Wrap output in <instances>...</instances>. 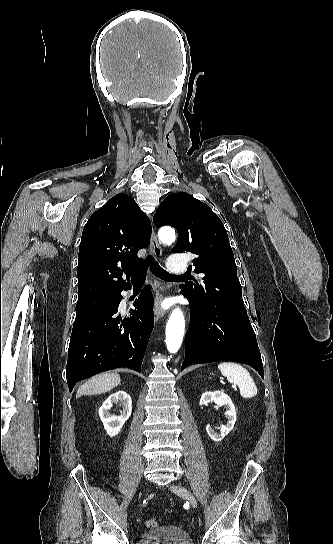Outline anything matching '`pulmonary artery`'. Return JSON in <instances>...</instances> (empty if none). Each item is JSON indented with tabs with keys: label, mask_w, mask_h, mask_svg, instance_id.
<instances>
[{
	"label": "pulmonary artery",
	"mask_w": 333,
	"mask_h": 544,
	"mask_svg": "<svg viewBox=\"0 0 333 544\" xmlns=\"http://www.w3.org/2000/svg\"><path fill=\"white\" fill-rule=\"evenodd\" d=\"M168 268L173 274L184 273L187 269L186 261L180 255H173L169 259Z\"/></svg>",
	"instance_id": "obj_1"
}]
</instances>
